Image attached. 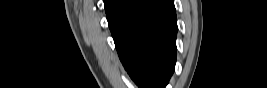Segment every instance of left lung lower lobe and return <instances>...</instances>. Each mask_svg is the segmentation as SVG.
Returning <instances> with one entry per match:
<instances>
[{
    "label": "left lung lower lobe",
    "instance_id": "left-lung-lower-lobe-1",
    "mask_svg": "<svg viewBox=\"0 0 267 88\" xmlns=\"http://www.w3.org/2000/svg\"><path fill=\"white\" fill-rule=\"evenodd\" d=\"M119 58L141 88H164L176 61L173 0H104Z\"/></svg>",
    "mask_w": 267,
    "mask_h": 88
}]
</instances>
